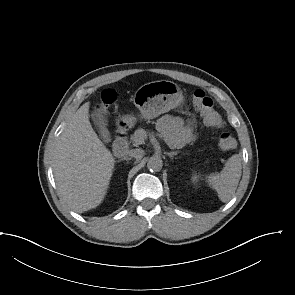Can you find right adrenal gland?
Here are the masks:
<instances>
[{"label":"right adrenal gland","instance_id":"right-adrenal-gland-1","mask_svg":"<svg viewBox=\"0 0 295 295\" xmlns=\"http://www.w3.org/2000/svg\"><path fill=\"white\" fill-rule=\"evenodd\" d=\"M123 160L128 161V160H130V158H128V157H124V158H121L119 161H123Z\"/></svg>","mask_w":295,"mask_h":295}]
</instances>
